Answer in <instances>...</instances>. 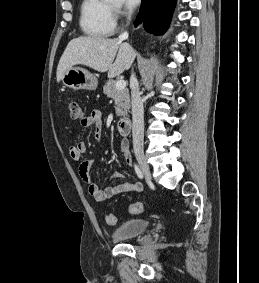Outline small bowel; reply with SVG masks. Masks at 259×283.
<instances>
[{
  "instance_id": "small-bowel-1",
  "label": "small bowel",
  "mask_w": 259,
  "mask_h": 283,
  "mask_svg": "<svg viewBox=\"0 0 259 283\" xmlns=\"http://www.w3.org/2000/svg\"><path fill=\"white\" fill-rule=\"evenodd\" d=\"M81 125L85 128L93 129V136L96 141H99L102 137V113L100 110H93L89 115L81 120ZM119 148L125 163L132 166L133 160L129 152V143L126 139H121ZM86 151V144L79 142L71 146L68 150L69 156L74 161L79 163L78 173L81 180L86 184L88 193L97 201L104 202L123 192L140 193L143 191V185L140 182L123 181L120 184L109 186L105 189H100L94 182L92 175L93 159L81 160L82 155ZM123 174L114 172L111 175V179H122Z\"/></svg>"
}]
</instances>
